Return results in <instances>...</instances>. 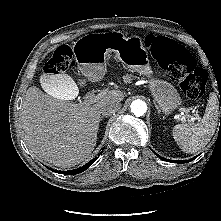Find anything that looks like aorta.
Returning <instances> with one entry per match:
<instances>
[{
	"label": "aorta",
	"mask_w": 221,
	"mask_h": 221,
	"mask_svg": "<svg viewBox=\"0 0 221 221\" xmlns=\"http://www.w3.org/2000/svg\"><path fill=\"white\" fill-rule=\"evenodd\" d=\"M130 107L131 112L137 117L143 116L147 111V105L142 100H134Z\"/></svg>",
	"instance_id": "obj_1"
}]
</instances>
